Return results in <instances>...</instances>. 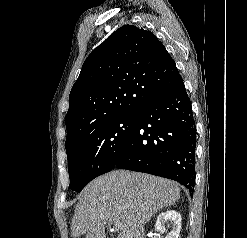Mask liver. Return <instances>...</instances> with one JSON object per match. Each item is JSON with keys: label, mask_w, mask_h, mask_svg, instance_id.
<instances>
[{"label": "liver", "mask_w": 247, "mask_h": 238, "mask_svg": "<svg viewBox=\"0 0 247 238\" xmlns=\"http://www.w3.org/2000/svg\"><path fill=\"white\" fill-rule=\"evenodd\" d=\"M180 199L177 184L144 173L114 170L80 193L72 218L73 237L105 238L107 223H121L117 238H143L144 225L158 210Z\"/></svg>", "instance_id": "liver-1"}]
</instances>
